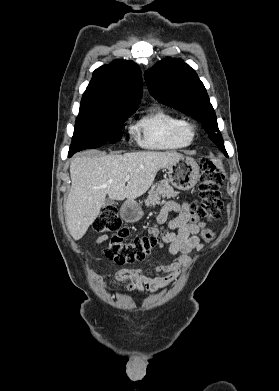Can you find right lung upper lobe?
<instances>
[{
	"label": "right lung upper lobe",
	"mask_w": 279,
	"mask_h": 391,
	"mask_svg": "<svg viewBox=\"0 0 279 391\" xmlns=\"http://www.w3.org/2000/svg\"><path fill=\"white\" fill-rule=\"evenodd\" d=\"M141 96L140 68L132 61L115 60L94 71L79 112L136 109Z\"/></svg>",
	"instance_id": "right-lung-upper-lobe-1"
}]
</instances>
